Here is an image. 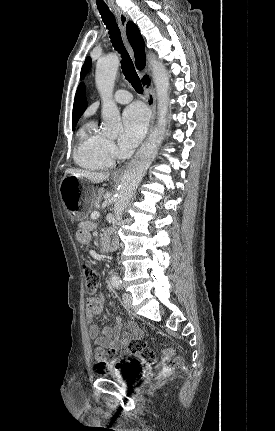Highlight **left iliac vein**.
Listing matches in <instances>:
<instances>
[{
    "instance_id": "left-iliac-vein-1",
    "label": "left iliac vein",
    "mask_w": 275,
    "mask_h": 431,
    "mask_svg": "<svg viewBox=\"0 0 275 431\" xmlns=\"http://www.w3.org/2000/svg\"><path fill=\"white\" fill-rule=\"evenodd\" d=\"M123 302L126 308H132V296L129 293L123 294Z\"/></svg>"
}]
</instances>
